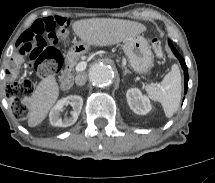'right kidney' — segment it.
<instances>
[{
    "label": "right kidney",
    "mask_w": 215,
    "mask_h": 183,
    "mask_svg": "<svg viewBox=\"0 0 215 183\" xmlns=\"http://www.w3.org/2000/svg\"><path fill=\"white\" fill-rule=\"evenodd\" d=\"M68 104L72 105L73 111L71 112V116L69 118L65 117L64 119H62L60 117V114L63 111V107ZM82 106L83 99L78 95H70L58 100L56 105L51 109L49 113L51 125L58 127H68L73 125L78 119Z\"/></svg>",
    "instance_id": "obj_1"
}]
</instances>
